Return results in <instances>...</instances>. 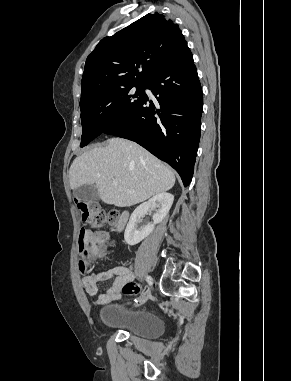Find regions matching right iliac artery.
Listing matches in <instances>:
<instances>
[{
  "label": "right iliac artery",
  "instance_id": "obj_1",
  "mask_svg": "<svg viewBox=\"0 0 291 381\" xmlns=\"http://www.w3.org/2000/svg\"><path fill=\"white\" fill-rule=\"evenodd\" d=\"M146 281L148 282V284L151 286L153 284V279L151 276H146Z\"/></svg>",
  "mask_w": 291,
  "mask_h": 381
}]
</instances>
